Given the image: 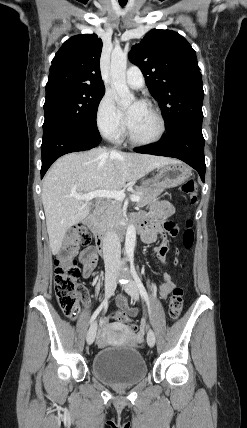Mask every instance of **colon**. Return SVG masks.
<instances>
[{
    "mask_svg": "<svg viewBox=\"0 0 247 428\" xmlns=\"http://www.w3.org/2000/svg\"><path fill=\"white\" fill-rule=\"evenodd\" d=\"M182 192L185 193L192 204L197 201V183L194 179L187 180L182 185ZM173 226V225H172ZM174 227V226H173ZM192 220H187L186 229L183 233L182 244L185 250H190L194 244ZM91 242V235L83 224L73 227L69 235V243L63 247L55 259L54 288L58 304L66 317L77 318L80 312L79 299L84 293L83 287L79 284L80 268L75 258L77 247L87 246ZM140 308V305H137ZM183 308V290L176 287L169 300V317L176 320ZM141 310L134 308L118 309L114 314V320L125 329L133 333L139 330L136 324H131L135 316H140ZM134 345V342H131Z\"/></svg>",
    "mask_w": 247,
    "mask_h": 428,
    "instance_id": "1",
    "label": "colon"
}]
</instances>
